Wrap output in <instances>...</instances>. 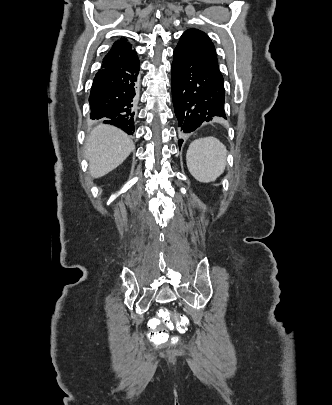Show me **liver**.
Returning a JSON list of instances; mask_svg holds the SVG:
<instances>
[{
  "label": "liver",
  "instance_id": "6515ba94",
  "mask_svg": "<svg viewBox=\"0 0 332 405\" xmlns=\"http://www.w3.org/2000/svg\"><path fill=\"white\" fill-rule=\"evenodd\" d=\"M135 146L125 132L110 125L99 124L87 139L85 157L93 178L102 177L117 168Z\"/></svg>",
  "mask_w": 332,
  "mask_h": 405
}]
</instances>
